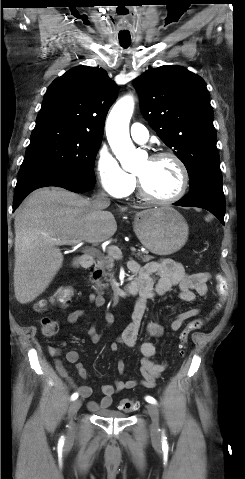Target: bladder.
<instances>
[{
    "mask_svg": "<svg viewBox=\"0 0 245 479\" xmlns=\"http://www.w3.org/2000/svg\"><path fill=\"white\" fill-rule=\"evenodd\" d=\"M99 417L123 419V418H126L127 415H125L122 412L115 411V410H106V411H100L99 412Z\"/></svg>",
    "mask_w": 245,
    "mask_h": 479,
    "instance_id": "31cf9c89",
    "label": "bladder"
}]
</instances>
